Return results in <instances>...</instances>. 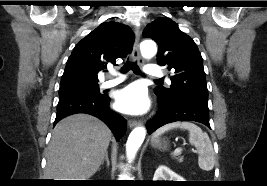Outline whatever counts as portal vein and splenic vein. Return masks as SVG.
Segmentation results:
<instances>
[{"mask_svg": "<svg viewBox=\"0 0 267 186\" xmlns=\"http://www.w3.org/2000/svg\"><path fill=\"white\" fill-rule=\"evenodd\" d=\"M181 153V149L180 148H176L174 151V155H179Z\"/></svg>", "mask_w": 267, "mask_h": 186, "instance_id": "obj_1", "label": "portal vein and splenic vein"}]
</instances>
